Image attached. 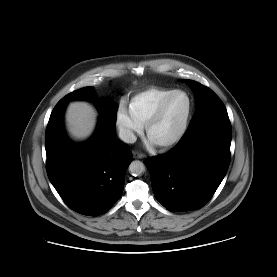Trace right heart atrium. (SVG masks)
I'll return each mask as SVG.
<instances>
[{"label": "right heart atrium", "instance_id": "d8ad5b80", "mask_svg": "<svg viewBox=\"0 0 277 277\" xmlns=\"http://www.w3.org/2000/svg\"><path fill=\"white\" fill-rule=\"evenodd\" d=\"M115 122L121 138L126 142H133L143 129V126L132 117L124 103H120L116 110Z\"/></svg>", "mask_w": 277, "mask_h": 277}]
</instances>
